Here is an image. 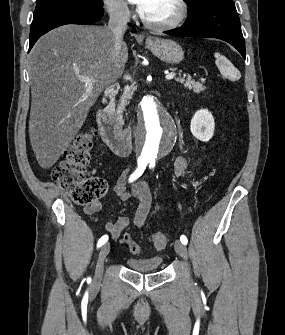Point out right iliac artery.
I'll return each instance as SVG.
<instances>
[{"mask_svg": "<svg viewBox=\"0 0 285 335\" xmlns=\"http://www.w3.org/2000/svg\"><path fill=\"white\" fill-rule=\"evenodd\" d=\"M147 163L148 162H139L138 163V168L136 169V171L130 176L129 178V182H133L134 180H136L137 178H139L144 170L146 169V166H147ZM108 241V236L107 235H104L102 236L99 241H98V244H97V247H101L103 244H105L106 242Z\"/></svg>", "mask_w": 285, "mask_h": 335, "instance_id": "right-iliac-artery-1", "label": "right iliac artery"}]
</instances>
